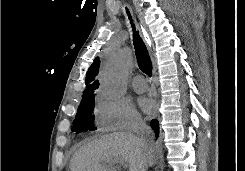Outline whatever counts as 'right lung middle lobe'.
<instances>
[{
  "mask_svg": "<svg viewBox=\"0 0 245 171\" xmlns=\"http://www.w3.org/2000/svg\"><path fill=\"white\" fill-rule=\"evenodd\" d=\"M94 96H88L86 98H82L80 106L78 107L77 115L75 117L72 131L73 132H81L87 130H94Z\"/></svg>",
  "mask_w": 245,
  "mask_h": 171,
  "instance_id": "right-lung-middle-lobe-1",
  "label": "right lung middle lobe"
}]
</instances>
